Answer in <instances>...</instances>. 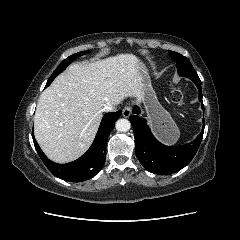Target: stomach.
Returning a JSON list of instances; mask_svg holds the SVG:
<instances>
[{
  "instance_id": "1",
  "label": "stomach",
  "mask_w": 240,
  "mask_h": 240,
  "mask_svg": "<svg viewBox=\"0 0 240 240\" xmlns=\"http://www.w3.org/2000/svg\"><path fill=\"white\" fill-rule=\"evenodd\" d=\"M138 65L144 92L143 103L151 128L159 140L174 144L180 136V131L170 114L158 102L146 66L139 60Z\"/></svg>"
}]
</instances>
